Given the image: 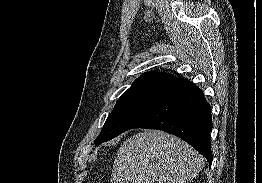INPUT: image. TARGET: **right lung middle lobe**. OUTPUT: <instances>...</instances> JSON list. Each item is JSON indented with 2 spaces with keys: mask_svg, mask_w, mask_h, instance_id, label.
<instances>
[{
  "mask_svg": "<svg viewBox=\"0 0 262 183\" xmlns=\"http://www.w3.org/2000/svg\"><path fill=\"white\" fill-rule=\"evenodd\" d=\"M156 93L157 91H138L122 94L95 140V144L100 145L121 134L127 124L145 108Z\"/></svg>",
  "mask_w": 262,
  "mask_h": 183,
  "instance_id": "right-lung-middle-lobe-1",
  "label": "right lung middle lobe"
}]
</instances>
